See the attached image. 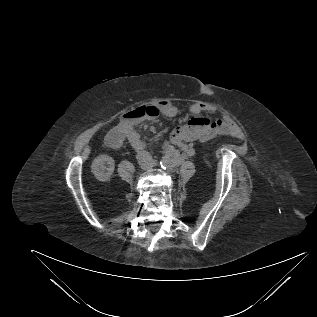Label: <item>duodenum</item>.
<instances>
[{"label":"duodenum","mask_w":317,"mask_h":317,"mask_svg":"<svg viewBox=\"0 0 317 317\" xmlns=\"http://www.w3.org/2000/svg\"><path fill=\"white\" fill-rule=\"evenodd\" d=\"M123 142V137L120 134H113L108 141V146L114 149H117L121 146Z\"/></svg>","instance_id":"1"}]
</instances>
